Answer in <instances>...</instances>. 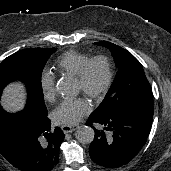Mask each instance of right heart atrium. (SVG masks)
Instances as JSON below:
<instances>
[{"mask_svg":"<svg viewBox=\"0 0 171 171\" xmlns=\"http://www.w3.org/2000/svg\"><path fill=\"white\" fill-rule=\"evenodd\" d=\"M40 90L44 100L52 102L55 99V78L48 72H42L39 79Z\"/></svg>","mask_w":171,"mask_h":171,"instance_id":"d8ad5b80","label":"right heart atrium"}]
</instances>
